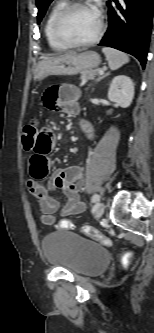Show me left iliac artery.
<instances>
[{"label":"left iliac artery","mask_w":154,"mask_h":333,"mask_svg":"<svg viewBox=\"0 0 154 333\" xmlns=\"http://www.w3.org/2000/svg\"><path fill=\"white\" fill-rule=\"evenodd\" d=\"M99 200H100V196L98 194H94L91 198L92 203L98 202Z\"/></svg>","instance_id":"left-iliac-artery-1"}]
</instances>
